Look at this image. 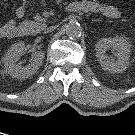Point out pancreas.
<instances>
[{
    "label": "pancreas",
    "instance_id": "cf45deb5",
    "mask_svg": "<svg viewBox=\"0 0 135 135\" xmlns=\"http://www.w3.org/2000/svg\"><path fill=\"white\" fill-rule=\"evenodd\" d=\"M21 26H23L26 29L27 33L35 34V33H39L41 30H43L45 27V24L27 20V21H24L21 24Z\"/></svg>",
    "mask_w": 135,
    "mask_h": 135
}]
</instances>
